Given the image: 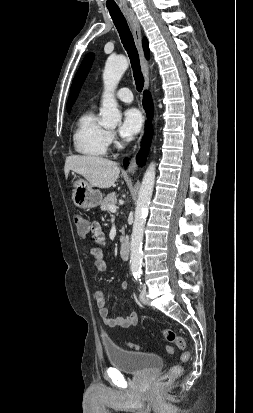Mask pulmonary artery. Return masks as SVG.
Here are the masks:
<instances>
[{
    "label": "pulmonary artery",
    "instance_id": "e3ab8cb5",
    "mask_svg": "<svg viewBox=\"0 0 253 413\" xmlns=\"http://www.w3.org/2000/svg\"><path fill=\"white\" fill-rule=\"evenodd\" d=\"M116 97L126 103H130L133 100L132 92L129 88H121L116 92Z\"/></svg>",
    "mask_w": 253,
    "mask_h": 413
}]
</instances>
